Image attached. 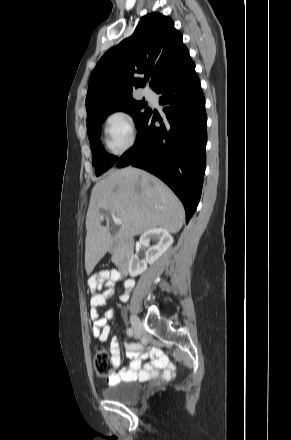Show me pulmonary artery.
Segmentation results:
<instances>
[{
  "label": "pulmonary artery",
  "mask_w": 291,
  "mask_h": 440,
  "mask_svg": "<svg viewBox=\"0 0 291 440\" xmlns=\"http://www.w3.org/2000/svg\"><path fill=\"white\" fill-rule=\"evenodd\" d=\"M143 95L147 98V99H150V100H153L154 98H153V95H152V92L149 90V89H145L144 91H143Z\"/></svg>",
  "instance_id": "e3ab8cb5"
}]
</instances>
